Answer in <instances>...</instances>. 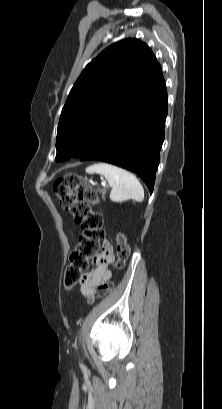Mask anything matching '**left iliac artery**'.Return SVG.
Returning <instances> with one entry per match:
<instances>
[{"instance_id": "44dca946", "label": "left iliac artery", "mask_w": 222, "mask_h": 409, "mask_svg": "<svg viewBox=\"0 0 222 409\" xmlns=\"http://www.w3.org/2000/svg\"><path fill=\"white\" fill-rule=\"evenodd\" d=\"M74 347L76 348V342H75V344H74Z\"/></svg>"}]
</instances>
